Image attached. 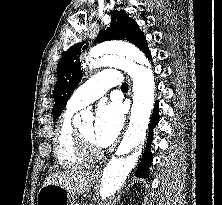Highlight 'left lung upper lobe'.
<instances>
[{
	"mask_svg": "<svg viewBox=\"0 0 222 205\" xmlns=\"http://www.w3.org/2000/svg\"><path fill=\"white\" fill-rule=\"evenodd\" d=\"M108 40H125L138 48L145 40L143 32L135 20L126 15L125 11L114 10L111 13L110 27L101 30L94 43ZM88 47L87 42H80L70 47L57 66L58 80L54 88L55 105L52 109L53 118L61 114L73 91L82 79L79 56Z\"/></svg>",
	"mask_w": 222,
	"mask_h": 205,
	"instance_id": "1",
	"label": "left lung upper lobe"
}]
</instances>
